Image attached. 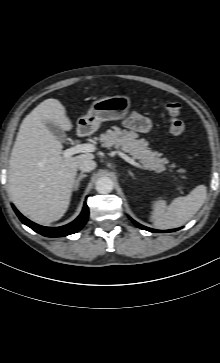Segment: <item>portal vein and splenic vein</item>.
<instances>
[{"mask_svg": "<svg viewBox=\"0 0 220 363\" xmlns=\"http://www.w3.org/2000/svg\"><path fill=\"white\" fill-rule=\"evenodd\" d=\"M96 150V147L93 144L85 143V144H77L73 147H70L62 152V155L64 158H69L75 154L78 153H88V152H94ZM119 156L123 158L126 162L130 163L131 165L138 167L143 170H147V167L140 165L136 161H134L132 158L127 156L126 154L122 152H118Z\"/></svg>", "mask_w": 220, "mask_h": 363, "instance_id": "portal-vein-and-splenic-vein-1", "label": "portal vein and splenic vein"}]
</instances>
